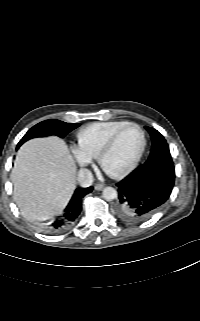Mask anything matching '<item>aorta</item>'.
<instances>
[{
    "label": "aorta",
    "instance_id": "762f6f07",
    "mask_svg": "<svg viewBox=\"0 0 200 321\" xmlns=\"http://www.w3.org/2000/svg\"><path fill=\"white\" fill-rule=\"evenodd\" d=\"M102 196L105 200L111 201L117 197V191L113 187H106L102 192Z\"/></svg>",
    "mask_w": 200,
    "mask_h": 321
}]
</instances>
